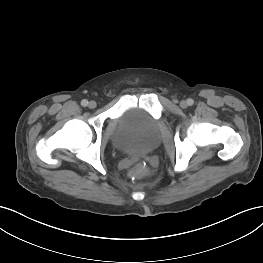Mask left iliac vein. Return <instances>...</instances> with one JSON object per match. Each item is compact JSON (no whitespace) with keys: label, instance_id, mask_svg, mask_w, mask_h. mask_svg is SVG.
Segmentation results:
<instances>
[{"label":"left iliac vein","instance_id":"left-iliac-vein-1","mask_svg":"<svg viewBox=\"0 0 263 263\" xmlns=\"http://www.w3.org/2000/svg\"><path fill=\"white\" fill-rule=\"evenodd\" d=\"M180 106H181L182 108H186V107H187V102H186V101H181V102H180Z\"/></svg>","mask_w":263,"mask_h":263}]
</instances>
